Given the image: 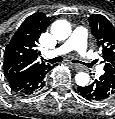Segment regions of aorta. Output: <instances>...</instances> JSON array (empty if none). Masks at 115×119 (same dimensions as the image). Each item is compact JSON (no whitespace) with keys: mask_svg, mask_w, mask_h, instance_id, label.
Masks as SVG:
<instances>
[{"mask_svg":"<svg viewBox=\"0 0 115 119\" xmlns=\"http://www.w3.org/2000/svg\"><path fill=\"white\" fill-rule=\"evenodd\" d=\"M51 32L58 40H65L71 34V26L67 21L57 20L51 26ZM75 81L79 86H86L90 81L88 73L79 72L75 76Z\"/></svg>","mask_w":115,"mask_h":119,"instance_id":"obj_1","label":"aorta"}]
</instances>
